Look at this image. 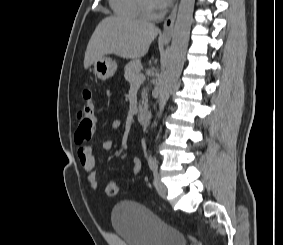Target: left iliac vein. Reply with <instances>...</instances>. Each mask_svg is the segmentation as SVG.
Here are the masks:
<instances>
[{
	"label": "left iliac vein",
	"instance_id": "1",
	"mask_svg": "<svg viewBox=\"0 0 283 245\" xmlns=\"http://www.w3.org/2000/svg\"><path fill=\"white\" fill-rule=\"evenodd\" d=\"M153 184H154L158 194L161 197L166 198L167 188H166L165 184L161 181L160 176H159L157 171L154 173Z\"/></svg>",
	"mask_w": 283,
	"mask_h": 245
}]
</instances>
